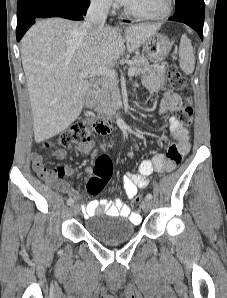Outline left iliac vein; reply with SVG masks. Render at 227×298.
<instances>
[{
    "mask_svg": "<svg viewBox=\"0 0 227 298\" xmlns=\"http://www.w3.org/2000/svg\"><path fill=\"white\" fill-rule=\"evenodd\" d=\"M151 205H152L151 200L148 199V198H145L144 201H143V203H142V209H143V211L144 212H149L150 209H151Z\"/></svg>",
    "mask_w": 227,
    "mask_h": 298,
    "instance_id": "left-iliac-vein-1",
    "label": "left iliac vein"
}]
</instances>
